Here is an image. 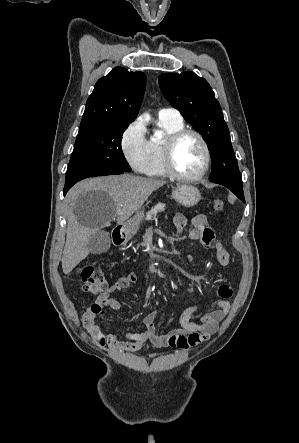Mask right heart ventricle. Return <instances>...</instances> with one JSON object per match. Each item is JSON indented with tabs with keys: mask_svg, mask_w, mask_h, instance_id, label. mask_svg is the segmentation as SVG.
I'll return each instance as SVG.
<instances>
[{
	"mask_svg": "<svg viewBox=\"0 0 299 443\" xmlns=\"http://www.w3.org/2000/svg\"><path fill=\"white\" fill-rule=\"evenodd\" d=\"M159 124L164 130V137L151 138L148 141V159L143 172L150 177H165L167 175L163 164V145L169 135L184 128L183 120L159 118Z\"/></svg>",
	"mask_w": 299,
	"mask_h": 443,
	"instance_id": "1",
	"label": "right heart ventricle"
}]
</instances>
